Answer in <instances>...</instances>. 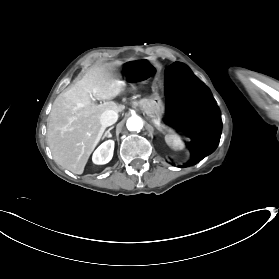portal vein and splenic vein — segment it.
I'll return each mask as SVG.
<instances>
[{"label": "portal vein and splenic vein", "instance_id": "obj_1", "mask_svg": "<svg viewBox=\"0 0 279 279\" xmlns=\"http://www.w3.org/2000/svg\"><path fill=\"white\" fill-rule=\"evenodd\" d=\"M90 104H91L92 106H95V105L97 104V101H96L95 99H92V100L90 101ZM97 139H98V137H97Z\"/></svg>", "mask_w": 279, "mask_h": 279}]
</instances>
